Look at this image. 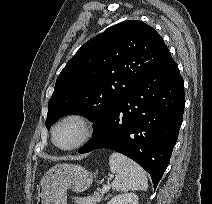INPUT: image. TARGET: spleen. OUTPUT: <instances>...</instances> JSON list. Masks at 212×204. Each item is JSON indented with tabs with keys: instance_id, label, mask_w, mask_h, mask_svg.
Listing matches in <instances>:
<instances>
[{
	"instance_id": "1",
	"label": "spleen",
	"mask_w": 212,
	"mask_h": 204,
	"mask_svg": "<svg viewBox=\"0 0 212 204\" xmlns=\"http://www.w3.org/2000/svg\"><path fill=\"white\" fill-rule=\"evenodd\" d=\"M109 166L115 179L111 187L115 191L126 192L133 190L146 191L148 180L145 171L134 161L120 153H112Z\"/></svg>"
}]
</instances>
